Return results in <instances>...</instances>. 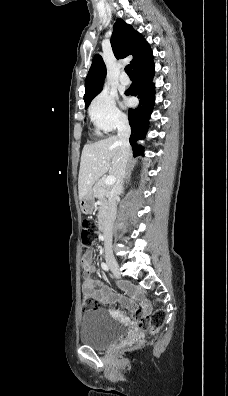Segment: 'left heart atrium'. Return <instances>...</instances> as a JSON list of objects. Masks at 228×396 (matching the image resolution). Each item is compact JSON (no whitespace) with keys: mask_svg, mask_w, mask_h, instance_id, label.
I'll use <instances>...</instances> for the list:
<instances>
[{"mask_svg":"<svg viewBox=\"0 0 228 396\" xmlns=\"http://www.w3.org/2000/svg\"><path fill=\"white\" fill-rule=\"evenodd\" d=\"M124 103L127 105V104H129V101H128V100H125V102H124Z\"/></svg>","mask_w":228,"mask_h":396,"instance_id":"obj_1","label":"left heart atrium"}]
</instances>
